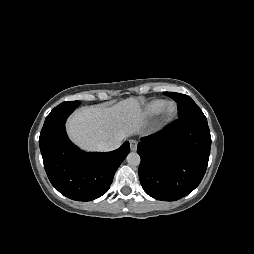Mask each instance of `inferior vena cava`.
I'll use <instances>...</instances> for the list:
<instances>
[{
  "label": "inferior vena cava",
  "mask_w": 254,
  "mask_h": 254,
  "mask_svg": "<svg viewBox=\"0 0 254 254\" xmlns=\"http://www.w3.org/2000/svg\"><path fill=\"white\" fill-rule=\"evenodd\" d=\"M122 137H117L109 140L108 142H103L98 145L99 151H113L119 148L122 144Z\"/></svg>",
  "instance_id": "obj_1"
}]
</instances>
